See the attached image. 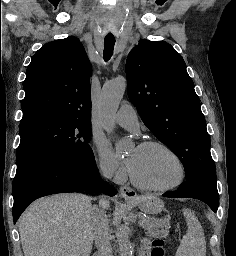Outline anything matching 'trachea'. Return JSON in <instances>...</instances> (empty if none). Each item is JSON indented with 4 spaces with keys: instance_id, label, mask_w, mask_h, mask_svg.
<instances>
[{
    "instance_id": "3493384b",
    "label": "trachea",
    "mask_w": 236,
    "mask_h": 256,
    "mask_svg": "<svg viewBox=\"0 0 236 256\" xmlns=\"http://www.w3.org/2000/svg\"><path fill=\"white\" fill-rule=\"evenodd\" d=\"M114 45H115V38H105L104 53H103V58L105 61H108L113 55Z\"/></svg>"
}]
</instances>
